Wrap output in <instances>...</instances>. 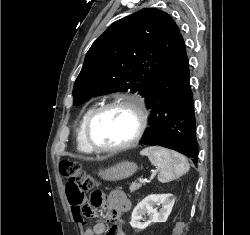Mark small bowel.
<instances>
[{
  "label": "small bowel",
  "instance_id": "c3829d8e",
  "mask_svg": "<svg viewBox=\"0 0 250 235\" xmlns=\"http://www.w3.org/2000/svg\"><path fill=\"white\" fill-rule=\"evenodd\" d=\"M70 207L76 222L85 224V219L95 214L94 209L87 202L78 206L70 203ZM130 207L131 202L123 191L114 190L110 192L108 201L101 207L106 221L86 226L84 235H128L119 217L124 212H127Z\"/></svg>",
  "mask_w": 250,
  "mask_h": 235
}]
</instances>
